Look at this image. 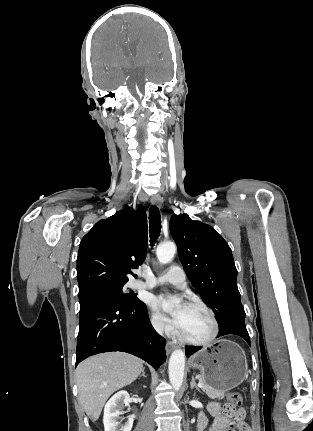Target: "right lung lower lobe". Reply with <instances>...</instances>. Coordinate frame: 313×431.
<instances>
[{"mask_svg": "<svg viewBox=\"0 0 313 431\" xmlns=\"http://www.w3.org/2000/svg\"><path fill=\"white\" fill-rule=\"evenodd\" d=\"M80 299L76 366L91 355L123 351L157 369L166 359L163 337L153 329L145 303L102 293Z\"/></svg>", "mask_w": 313, "mask_h": 431, "instance_id": "right-lung-lower-lobe-1", "label": "right lung lower lobe"}]
</instances>
